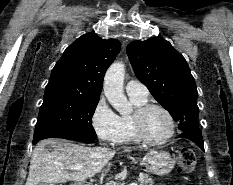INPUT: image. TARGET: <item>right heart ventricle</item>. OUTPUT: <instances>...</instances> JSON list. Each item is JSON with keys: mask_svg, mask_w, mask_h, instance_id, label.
Returning a JSON list of instances; mask_svg holds the SVG:
<instances>
[{"mask_svg": "<svg viewBox=\"0 0 233 185\" xmlns=\"http://www.w3.org/2000/svg\"><path fill=\"white\" fill-rule=\"evenodd\" d=\"M130 100L135 108L147 103V97L141 98L130 96ZM120 120L122 125V133L118 142L123 144L139 143L140 140L137 138L134 131L132 115H122L120 116Z\"/></svg>", "mask_w": 233, "mask_h": 185, "instance_id": "right-heart-ventricle-1", "label": "right heart ventricle"}]
</instances>
